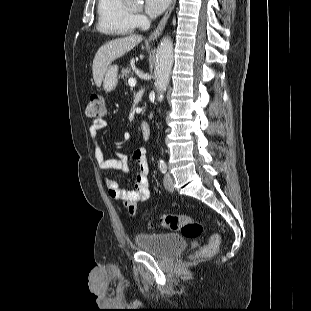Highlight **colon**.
I'll return each instance as SVG.
<instances>
[{"label":"colon","mask_w":311,"mask_h":311,"mask_svg":"<svg viewBox=\"0 0 311 311\" xmlns=\"http://www.w3.org/2000/svg\"><path fill=\"white\" fill-rule=\"evenodd\" d=\"M85 114L88 118L102 120L106 115L105 101L102 95L93 93L85 107ZM162 225L173 231H180L181 234L190 239H196L203 233V226L200 222L187 215H165ZM220 243L218 235H212L204 246L199 248L194 254L195 258L208 257L215 253Z\"/></svg>","instance_id":"5ec220e1"}]
</instances>
